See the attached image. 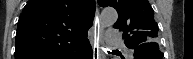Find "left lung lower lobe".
<instances>
[{"instance_id":"0a47b994","label":"left lung lower lobe","mask_w":193,"mask_h":59,"mask_svg":"<svg viewBox=\"0 0 193 59\" xmlns=\"http://www.w3.org/2000/svg\"><path fill=\"white\" fill-rule=\"evenodd\" d=\"M163 53L160 52L158 46H146L142 44L135 48L134 59H162Z\"/></svg>"}]
</instances>
